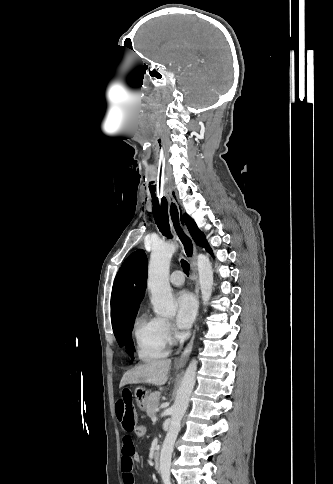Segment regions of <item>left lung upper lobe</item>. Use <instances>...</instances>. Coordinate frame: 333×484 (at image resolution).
Instances as JSON below:
<instances>
[{
    "mask_svg": "<svg viewBox=\"0 0 333 484\" xmlns=\"http://www.w3.org/2000/svg\"><path fill=\"white\" fill-rule=\"evenodd\" d=\"M181 220H184L192 238L197 243V245L202 246L205 243L204 234L198 229L194 220L186 213L183 215Z\"/></svg>",
    "mask_w": 333,
    "mask_h": 484,
    "instance_id": "obj_1",
    "label": "left lung upper lobe"
}]
</instances>
